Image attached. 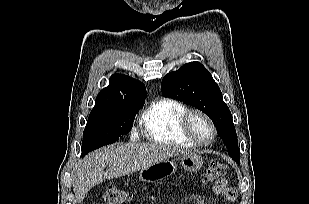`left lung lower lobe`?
<instances>
[{"label":"left lung lower lobe","mask_w":309,"mask_h":204,"mask_svg":"<svg viewBox=\"0 0 309 204\" xmlns=\"http://www.w3.org/2000/svg\"><path fill=\"white\" fill-rule=\"evenodd\" d=\"M218 134H221V131L217 130Z\"/></svg>","instance_id":"obj_1"}]
</instances>
